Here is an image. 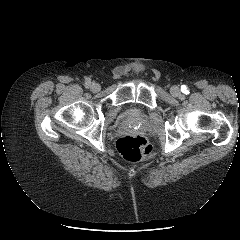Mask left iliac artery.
Returning <instances> with one entry per match:
<instances>
[{"mask_svg": "<svg viewBox=\"0 0 240 240\" xmlns=\"http://www.w3.org/2000/svg\"><path fill=\"white\" fill-rule=\"evenodd\" d=\"M181 91H182L183 93H188L187 87H186L185 85H183V86L181 87Z\"/></svg>", "mask_w": 240, "mask_h": 240, "instance_id": "1", "label": "left iliac artery"}]
</instances>
